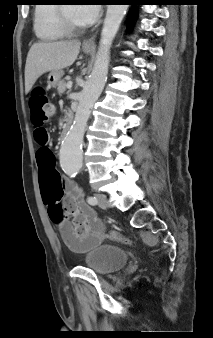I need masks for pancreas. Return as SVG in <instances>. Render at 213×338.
Segmentation results:
<instances>
[{"mask_svg": "<svg viewBox=\"0 0 213 338\" xmlns=\"http://www.w3.org/2000/svg\"><path fill=\"white\" fill-rule=\"evenodd\" d=\"M57 86H58L57 87L58 94L62 95L66 91V88H67L66 80L63 79V80L59 81Z\"/></svg>", "mask_w": 213, "mask_h": 338, "instance_id": "obj_1", "label": "pancreas"}]
</instances>
